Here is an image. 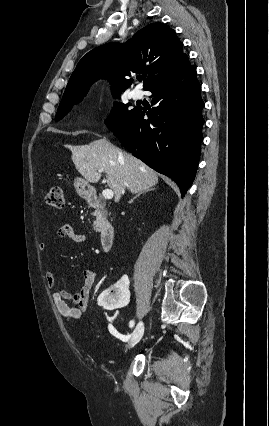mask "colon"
<instances>
[{"label":"colon","instance_id":"obj_1","mask_svg":"<svg viewBox=\"0 0 269 426\" xmlns=\"http://www.w3.org/2000/svg\"><path fill=\"white\" fill-rule=\"evenodd\" d=\"M46 203L50 207L60 209L63 207V189L61 186H53L46 195Z\"/></svg>","mask_w":269,"mask_h":426}]
</instances>
